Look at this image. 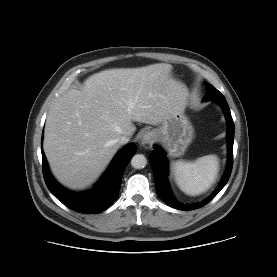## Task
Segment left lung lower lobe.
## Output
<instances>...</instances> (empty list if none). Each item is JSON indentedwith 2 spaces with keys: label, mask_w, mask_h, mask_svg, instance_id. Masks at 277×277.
<instances>
[{
  "label": "left lung lower lobe",
  "mask_w": 277,
  "mask_h": 277,
  "mask_svg": "<svg viewBox=\"0 0 277 277\" xmlns=\"http://www.w3.org/2000/svg\"><path fill=\"white\" fill-rule=\"evenodd\" d=\"M217 102L221 108L224 110L227 122H228V161H227V169L226 172L222 178V181L220 182L218 188L214 191V193L204 200L201 203H197L195 205H189L184 206L178 203L174 196L171 193L167 175H168V162L165 157V152L157 147L154 146V150L150 154V164L152 166L153 174H154V180L156 185V191L159 197L169 206L179 209V210H193L200 208L204 205H206L208 202H210L226 185V183L229 180L232 166H233V142H234V122L231 116V112L229 109V106L225 100H219L215 101Z\"/></svg>",
  "instance_id": "0a47b994"
}]
</instances>
